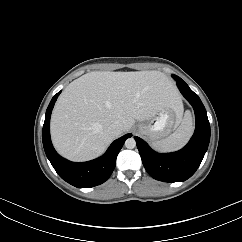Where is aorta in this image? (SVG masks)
<instances>
[{
    "mask_svg": "<svg viewBox=\"0 0 242 242\" xmlns=\"http://www.w3.org/2000/svg\"><path fill=\"white\" fill-rule=\"evenodd\" d=\"M125 147L128 148V149H133L136 147V141L134 138H128L126 141H125Z\"/></svg>",
    "mask_w": 242,
    "mask_h": 242,
    "instance_id": "1",
    "label": "aorta"
}]
</instances>
